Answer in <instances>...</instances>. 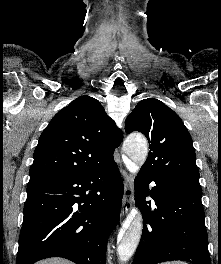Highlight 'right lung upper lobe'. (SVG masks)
Returning <instances> with one entry per match:
<instances>
[{"instance_id":"cb5924a9","label":"right lung upper lobe","mask_w":221,"mask_h":264,"mask_svg":"<svg viewBox=\"0 0 221 264\" xmlns=\"http://www.w3.org/2000/svg\"><path fill=\"white\" fill-rule=\"evenodd\" d=\"M122 131L93 97L76 98L60 110L39 138L28 185L92 171L113 158Z\"/></svg>"}]
</instances>
